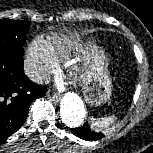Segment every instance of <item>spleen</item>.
<instances>
[{"mask_svg":"<svg viewBox=\"0 0 153 153\" xmlns=\"http://www.w3.org/2000/svg\"><path fill=\"white\" fill-rule=\"evenodd\" d=\"M115 119V116L91 118L90 124L93 129L98 131L112 124Z\"/></svg>","mask_w":153,"mask_h":153,"instance_id":"spleen-1","label":"spleen"}]
</instances>
